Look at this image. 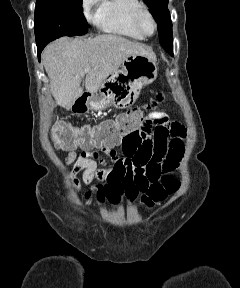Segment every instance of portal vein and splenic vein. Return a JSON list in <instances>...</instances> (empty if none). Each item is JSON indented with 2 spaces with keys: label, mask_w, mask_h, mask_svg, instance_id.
Returning <instances> with one entry per match:
<instances>
[{
  "label": "portal vein and splenic vein",
  "mask_w": 240,
  "mask_h": 288,
  "mask_svg": "<svg viewBox=\"0 0 240 288\" xmlns=\"http://www.w3.org/2000/svg\"><path fill=\"white\" fill-rule=\"evenodd\" d=\"M89 71V69L88 68H86L85 70H84V73H87Z\"/></svg>",
  "instance_id": "1"
}]
</instances>
